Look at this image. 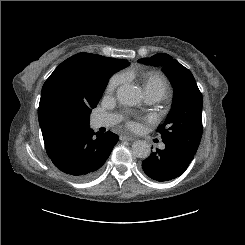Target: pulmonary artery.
Here are the masks:
<instances>
[{
	"label": "pulmonary artery",
	"instance_id": "1",
	"mask_svg": "<svg viewBox=\"0 0 245 245\" xmlns=\"http://www.w3.org/2000/svg\"><path fill=\"white\" fill-rule=\"evenodd\" d=\"M145 99L150 104L158 101L156 97L151 95H146ZM118 120V117L115 115H101L95 118L94 124L96 127H108L118 122ZM161 148H165V145H162Z\"/></svg>",
	"mask_w": 245,
	"mask_h": 245
}]
</instances>
